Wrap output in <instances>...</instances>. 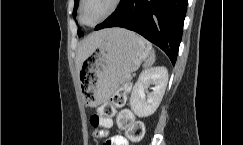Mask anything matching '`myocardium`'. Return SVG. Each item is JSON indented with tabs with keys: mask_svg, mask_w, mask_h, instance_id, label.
<instances>
[{
	"mask_svg": "<svg viewBox=\"0 0 243 145\" xmlns=\"http://www.w3.org/2000/svg\"><path fill=\"white\" fill-rule=\"evenodd\" d=\"M85 2H86V0H80L78 18H79V22L82 25L87 26V27H95V26L99 25L100 23H102L103 21L108 19L111 15H113L122 4V0H112L111 6L99 20H97L93 24H86V23H84L83 18H82V12H83V7H84Z\"/></svg>",
	"mask_w": 243,
	"mask_h": 145,
	"instance_id": "obj_1",
	"label": "myocardium"
}]
</instances>
